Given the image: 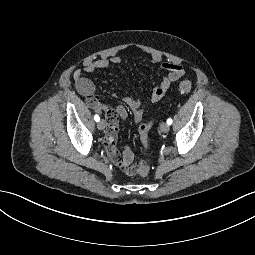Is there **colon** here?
Masks as SVG:
<instances>
[{
  "instance_id": "colon-1",
  "label": "colon",
  "mask_w": 255,
  "mask_h": 255,
  "mask_svg": "<svg viewBox=\"0 0 255 255\" xmlns=\"http://www.w3.org/2000/svg\"><path fill=\"white\" fill-rule=\"evenodd\" d=\"M191 87L192 85L189 80H183L179 83L178 90L181 93H188L191 90ZM152 126H153V121L150 120L146 123L141 124L139 127V134H140V139H141L143 148H146L148 145L149 133H150V130L152 129ZM148 172H149L148 165L144 161H141L138 166L139 175L144 177L148 174Z\"/></svg>"
}]
</instances>
